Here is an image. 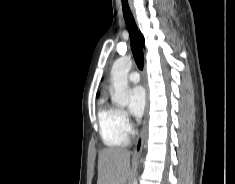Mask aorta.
<instances>
[{
  "label": "aorta",
  "mask_w": 235,
  "mask_h": 184,
  "mask_svg": "<svg viewBox=\"0 0 235 184\" xmlns=\"http://www.w3.org/2000/svg\"><path fill=\"white\" fill-rule=\"evenodd\" d=\"M132 60L129 56L125 58H119L116 60L112 66L111 70V84L114 88V96L111 100L116 106H121L125 108L129 102V90H128V80L127 74L131 70ZM137 184V182H133Z\"/></svg>",
  "instance_id": "762f6f07"
}]
</instances>
